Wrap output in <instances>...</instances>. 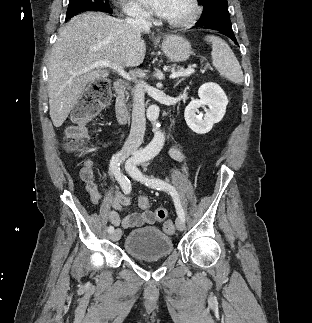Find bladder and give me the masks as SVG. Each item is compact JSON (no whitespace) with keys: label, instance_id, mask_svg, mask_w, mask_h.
<instances>
[{"label":"bladder","instance_id":"bladder-1","mask_svg":"<svg viewBox=\"0 0 312 323\" xmlns=\"http://www.w3.org/2000/svg\"><path fill=\"white\" fill-rule=\"evenodd\" d=\"M125 250L138 259L165 258L173 250V239L159 228L148 226L129 232L125 238Z\"/></svg>","mask_w":312,"mask_h":323}]
</instances>
